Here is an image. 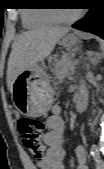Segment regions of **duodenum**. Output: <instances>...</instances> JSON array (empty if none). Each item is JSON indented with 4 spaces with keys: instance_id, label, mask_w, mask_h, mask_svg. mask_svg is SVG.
<instances>
[{
    "instance_id": "obj_1",
    "label": "duodenum",
    "mask_w": 104,
    "mask_h": 169,
    "mask_svg": "<svg viewBox=\"0 0 104 169\" xmlns=\"http://www.w3.org/2000/svg\"><path fill=\"white\" fill-rule=\"evenodd\" d=\"M88 106V99L86 96H78L76 99V110L79 113H82L86 110Z\"/></svg>"
}]
</instances>
